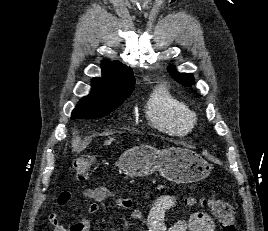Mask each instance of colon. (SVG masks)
I'll list each match as a JSON object with an SVG mask.
<instances>
[{
  "label": "colon",
  "instance_id": "obj_1",
  "mask_svg": "<svg viewBox=\"0 0 268 231\" xmlns=\"http://www.w3.org/2000/svg\"><path fill=\"white\" fill-rule=\"evenodd\" d=\"M93 163L94 159L91 156L78 157L73 161V172L79 179H86L92 170ZM196 202L211 210L222 231H237L235 210L231 204L216 198H200L196 200L193 197H187L185 199L186 205H193Z\"/></svg>",
  "mask_w": 268,
  "mask_h": 231
}]
</instances>
